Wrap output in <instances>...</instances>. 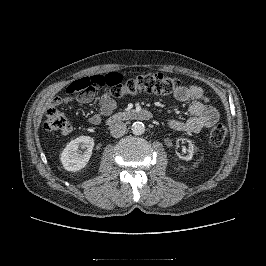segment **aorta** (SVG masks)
Masks as SVG:
<instances>
[{
    "instance_id": "obj_1",
    "label": "aorta",
    "mask_w": 266,
    "mask_h": 266,
    "mask_svg": "<svg viewBox=\"0 0 266 266\" xmlns=\"http://www.w3.org/2000/svg\"><path fill=\"white\" fill-rule=\"evenodd\" d=\"M134 135H142L145 132V126L142 122H134L131 127Z\"/></svg>"
}]
</instances>
